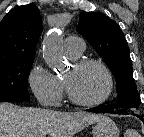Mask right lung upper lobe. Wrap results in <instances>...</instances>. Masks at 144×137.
<instances>
[{"label":"right lung upper lobe","mask_w":144,"mask_h":137,"mask_svg":"<svg viewBox=\"0 0 144 137\" xmlns=\"http://www.w3.org/2000/svg\"><path fill=\"white\" fill-rule=\"evenodd\" d=\"M41 31V17L35 5L12 9L0 22V63L34 58Z\"/></svg>","instance_id":"1"}]
</instances>
